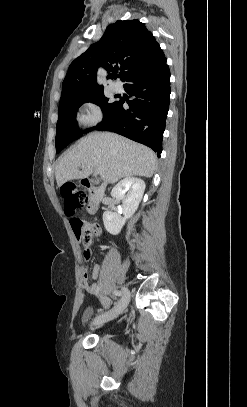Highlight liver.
<instances>
[{
	"label": "liver",
	"mask_w": 247,
	"mask_h": 407,
	"mask_svg": "<svg viewBox=\"0 0 247 407\" xmlns=\"http://www.w3.org/2000/svg\"><path fill=\"white\" fill-rule=\"evenodd\" d=\"M156 161L155 153L142 144L113 133H92L61 157L55 177L58 187L69 180L87 178L94 169H100L101 178L109 183L132 176L150 178Z\"/></svg>",
	"instance_id": "6515ba94"
}]
</instances>
